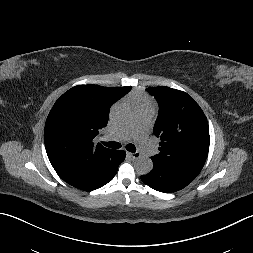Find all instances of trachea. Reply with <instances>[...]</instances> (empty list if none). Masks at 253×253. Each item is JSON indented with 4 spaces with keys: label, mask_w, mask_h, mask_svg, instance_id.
Wrapping results in <instances>:
<instances>
[{
    "label": "trachea",
    "mask_w": 253,
    "mask_h": 253,
    "mask_svg": "<svg viewBox=\"0 0 253 253\" xmlns=\"http://www.w3.org/2000/svg\"><path fill=\"white\" fill-rule=\"evenodd\" d=\"M106 147L112 148V149H119L121 147V144L118 142H104L103 143ZM126 149L129 152H136V147L133 144H127Z\"/></svg>",
    "instance_id": "obj_1"
}]
</instances>
